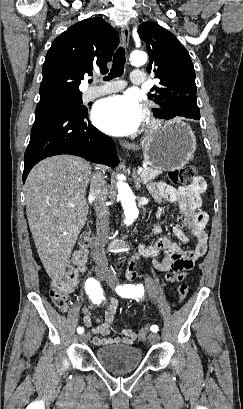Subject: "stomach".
Returning <instances> with one entry per match:
<instances>
[{"label": "stomach", "instance_id": "0dacf381", "mask_svg": "<svg viewBox=\"0 0 243 409\" xmlns=\"http://www.w3.org/2000/svg\"><path fill=\"white\" fill-rule=\"evenodd\" d=\"M144 161L160 171L184 167L196 150V138L189 125L179 119L166 122L160 129L146 135L141 144Z\"/></svg>", "mask_w": 243, "mask_h": 409}]
</instances>
